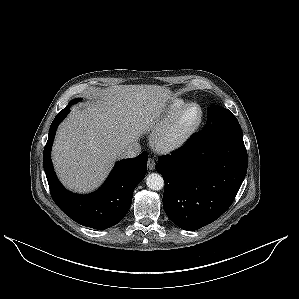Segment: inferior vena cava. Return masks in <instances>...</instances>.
<instances>
[{"instance_id":"1","label":"inferior vena cava","mask_w":299,"mask_h":299,"mask_svg":"<svg viewBox=\"0 0 299 299\" xmlns=\"http://www.w3.org/2000/svg\"><path fill=\"white\" fill-rule=\"evenodd\" d=\"M141 153V145L137 142H131L127 144L122 150H121V157L124 158H133L136 157Z\"/></svg>"}]
</instances>
